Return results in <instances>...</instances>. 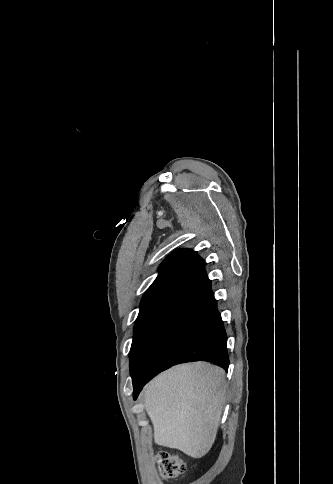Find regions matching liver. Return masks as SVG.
<instances>
[{"mask_svg": "<svg viewBox=\"0 0 333 484\" xmlns=\"http://www.w3.org/2000/svg\"><path fill=\"white\" fill-rule=\"evenodd\" d=\"M154 439L196 459L216 439L225 403V371L196 362L176 366L155 377L143 391Z\"/></svg>", "mask_w": 333, "mask_h": 484, "instance_id": "obj_1", "label": "liver"}]
</instances>
